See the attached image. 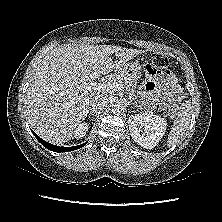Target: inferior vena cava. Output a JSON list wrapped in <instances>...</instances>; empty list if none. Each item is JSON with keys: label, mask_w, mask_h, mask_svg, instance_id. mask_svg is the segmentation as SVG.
<instances>
[{"label": "inferior vena cava", "mask_w": 222, "mask_h": 222, "mask_svg": "<svg viewBox=\"0 0 222 222\" xmlns=\"http://www.w3.org/2000/svg\"><path fill=\"white\" fill-rule=\"evenodd\" d=\"M108 105V99L103 95H96L89 103V110L93 113H97L103 110Z\"/></svg>", "instance_id": "obj_1"}]
</instances>
